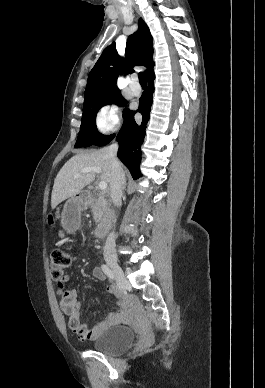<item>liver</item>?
<instances>
[{
	"mask_svg": "<svg viewBox=\"0 0 265 388\" xmlns=\"http://www.w3.org/2000/svg\"><path fill=\"white\" fill-rule=\"evenodd\" d=\"M108 148H102L98 152H90V154H77L71 160H68L58 172L51 196V208L55 210L58 204L73 198L83 190L85 186H89L96 178L95 172H88V174H80L78 178H74L82 168H93V166H100L102 170L99 180L102 182H109L111 180V164L107 156Z\"/></svg>",
	"mask_w": 265,
	"mask_h": 388,
	"instance_id": "6515ba94",
	"label": "liver"
}]
</instances>
